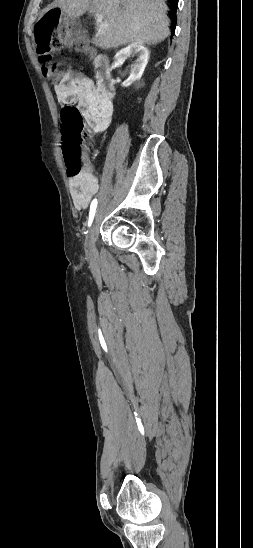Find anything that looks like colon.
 Wrapping results in <instances>:
<instances>
[{
    "mask_svg": "<svg viewBox=\"0 0 253 548\" xmlns=\"http://www.w3.org/2000/svg\"><path fill=\"white\" fill-rule=\"evenodd\" d=\"M68 29L61 23V14L51 10L35 25L37 49L42 60V72L53 85H58L66 74L68 65L52 58V52L63 46ZM63 150L68 166V175L77 176L83 169L82 165V133L83 120L78 108L65 107L62 112Z\"/></svg>",
    "mask_w": 253,
    "mask_h": 548,
    "instance_id": "1",
    "label": "colon"
}]
</instances>
